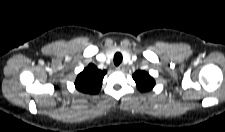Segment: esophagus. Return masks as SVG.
<instances>
[{
  "label": "esophagus",
  "instance_id": "1",
  "mask_svg": "<svg viewBox=\"0 0 225 132\" xmlns=\"http://www.w3.org/2000/svg\"><path fill=\"white\" fill-rule=\"evenodd\" d=\"M124 69H125L124 65H119L116 67L117 71H124Z\"/></svg>",
  "mask_w": 225,
  "mask_h": 132
}]
</instances>
